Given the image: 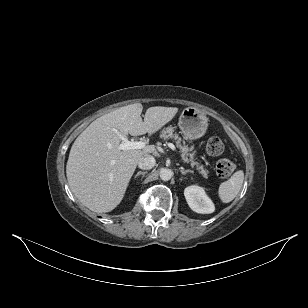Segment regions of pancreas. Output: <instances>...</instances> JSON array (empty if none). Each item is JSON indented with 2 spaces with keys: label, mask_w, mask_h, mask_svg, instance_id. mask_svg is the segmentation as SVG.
Returning <instances> with one entry per match:
<instances>
[{
  "label": "pancreas",
  "mask_w": 308,
  "mask_h": 308,
  "mask_svg": "<svg viewBox=\"0 0 308 308\" xmlns=\"http://www.w3.org/2000/svg\"><path fill=\"white\" fill-rule=\"evenodd\" d=\"M160 137L163 139L173 138L175 140L177 148H179L182 152L183 160L187 163H190L192 168L195 167L204 178H207L208 170L204 168L203 164L195 161L194 154L189 153L190 148L185 144L184 141L181 140V138L176 133H174L173 127L164 128L160 133Z\"/></svg>",
  "instance_id": "cf45deb5"
}]
</instances>
